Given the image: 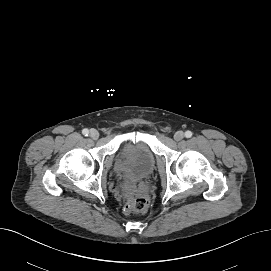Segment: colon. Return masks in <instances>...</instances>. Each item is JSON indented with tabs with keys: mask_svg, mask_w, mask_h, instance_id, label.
Instances as JSON below:
<instances>
[{
	"mask_svg": "<svg viewBox=\"0 0 271 271\" xmlns=\"http://www.w3.org/2000/svg\"><path fill=\"white\" fill-rule=\"evenodd\" d=\"M147 207L148 200L144 197H137L125 206V210L130 214H140L146 211Z\"/></svg>",
	"mask_w": 271,
	"mask_h": 271,
	"instance_id": "colon-1",
	"label": "colon"
}]
</instances>
